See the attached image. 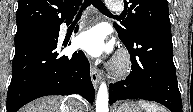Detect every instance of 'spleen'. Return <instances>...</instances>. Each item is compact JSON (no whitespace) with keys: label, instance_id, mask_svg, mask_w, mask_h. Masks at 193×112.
Instances as JSON below:
<instances>
[{"label":"spleen","instance_id":"obj_1","mask_svg":"<svg viewBox=\"0 0 193 112\" xmlns=\"http://www.w3.org/2000/svg\"><path fill=\"white\" fill-rule=\"evenodd\" d=\"M140 107H142L146 112H163V110L155 103L146 102L140 100L137 102Z\"/></svg>","mask_w":193,"mask_h":112}]
</instances>
